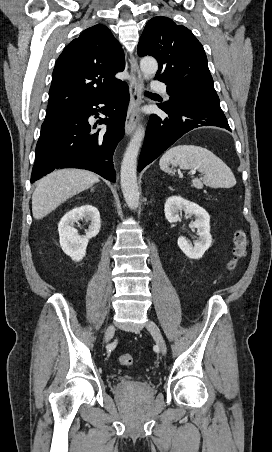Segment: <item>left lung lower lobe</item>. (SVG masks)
Wrapping results in <instances>:
<instances>
[{"label": "left lung lower lobe", "mask_w": 272, "mask_h": 452, "mask_svg": "<svg viewBox=\"0 0 272 452\" xmlns=\"http://www.w3.org/2000/svg\"><path fill=\"white\" fill-rule=\"evenodd\" d=\"M159 108L168 117L151 115L140 154L139 172L194 128L217 126L231 131L219 101L192 96L172 100L159 105Z\"/></svg>", "instance_id": "obj_1"}]
</instances>
